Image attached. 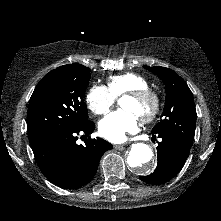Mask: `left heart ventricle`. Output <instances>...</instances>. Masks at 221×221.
I'll return each mask as SVG.
<instances>
[{"label": "left heart ventricle", "mask_w": 221, "mask_h": 221, "mask_svg": "<svg viewBox=\"0 0 221 221\" xmlns=\"http://www.w3.org/2000/svg\"><path fill=\"white\" fill-rule=\"evenodd\" d=\"M121 107L125 110L132 111L137 117H141L149 112L151 103L149 101L138 102L130 97H125L121 101Z\"/></svg>", "instance_id": "left-heart-ventricle-1"}]
</instances>
